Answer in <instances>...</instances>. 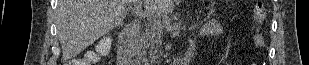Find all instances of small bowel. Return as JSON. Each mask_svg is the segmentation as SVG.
Returning a JSON list of instances; mask_svg holds the SVG:
<instances>
[{
  "instance_id": "obj_1",
  "label": "small bowel",
  "mask_w": 309,
  "mask_h": 65,
  "mask_svg": "<svg viewBox=\"0 0 309 65\" xmlns=\"http://www.w3.org/2000/svg\"><path fill=\"white\" fill-rule=\"evenodd\" d=\"M202 32L219 35L223 32V30L216 20L211 19L203 26ZM90 63L92 64V62Z\"/></svg>"
}]
</instances>
